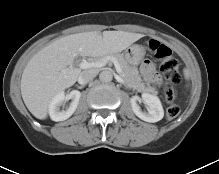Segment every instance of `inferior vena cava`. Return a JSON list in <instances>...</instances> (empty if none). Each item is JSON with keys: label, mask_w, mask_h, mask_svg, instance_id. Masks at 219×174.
Instances as JSON below:
<instances>
[{"label": "inferior vena cava", "mask_w": 219, "mask_h": 174, "mask_svg": "<svg viewBox=\"0 0 219 174\" xmlns=\"http://www.w3.org/2000/svg\"><path fill=\"white\" fill-rule=\"evenodd\" d=\"M96 75H97V72L92 69L82 71L78 78V82L80 84L88 83L89 81L93 80L96 77Z\"/></svg>", "instance_id": "602c4592"}]
</instances>
